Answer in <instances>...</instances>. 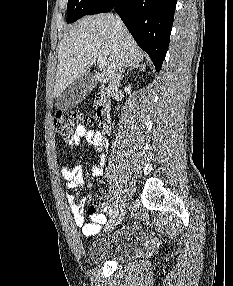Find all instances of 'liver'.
I'll use <instances>...</instances> for the list:
<instances>
[{
  "instance_id": "liver-1",
  "label": "liver",
  "mask_w": 233,
  "mask_h": 286,
  "mask_svg": "<svg viewBox=\"0 0 233 286\" xmlns=\"http://www.w3.org/2000/svg\"><path fill=\"white\" fill-rule=\"evenodd\" d=\"M116 21L117 18L110 13L86 16L64 34L58 46L54 98L98 59L105 61V67L94 75V79L103 84L116 78L120 63L128 67L144 59V53L132 35L123 24L117 28Z\"/></svg>"
}]
</instances>
